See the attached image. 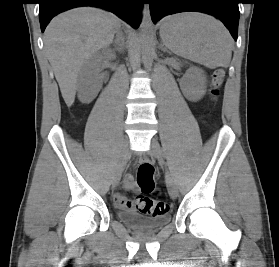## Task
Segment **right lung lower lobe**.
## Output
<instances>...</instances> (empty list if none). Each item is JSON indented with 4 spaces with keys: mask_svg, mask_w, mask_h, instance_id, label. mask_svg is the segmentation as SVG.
<instances>
[{
    "mask_svg": "<svg viewBox=\"0 0 279 267\" xmlns=\"http://www.w3.org/2000/svg\"><path fill=\"white\" fill-rule=\"evenodd\" d=\"M143 0H39V20L44 32L49 21L58 13L77 6H96L109 10L138 28Z\"/></svg>",
    "mask_w": 279,
    "mask_h": 267,
    "instance_id": "obj_1",
    "label": "right lung lower lobe"
}]
</instances>
